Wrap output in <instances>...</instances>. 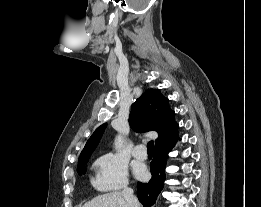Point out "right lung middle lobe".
Wrapping results in <instances>:
<instances>
[{
	"instance_id": "1",
	"label": "right lung middle lobe",
	"mask_w": 261,
	"mask_h": 207,
	"mask_svg": "<svg viewBox=\"0 0 261 207\" xmlns=\"http://www.w3.org/2000/svg\"><path fill=\"white\" fill-rule=\"evenodd\" d=\"M89 160V157L82 159L78 162V167H77V171L78 173L81 175L82 173L84 174L86 171V167L84 166Z\"/></svg>"
}]
</instances>
